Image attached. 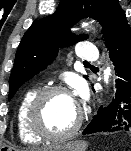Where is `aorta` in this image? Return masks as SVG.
I'll return each instance as SVG.
<instances>
[{"label": "aorta", "instance_id": "obj_1", "mask_svg": "<svg viewBox=\"0 0 131 151\" xmlns=\"http://www.w3.org/2000/svg\"><path fill=\"white\" fill-rule=\"evenodd\" d=\"M87 24H83V26H86ZM109 75H110V69H107L104 71V81L105 83H108L109 81Z\"/></svg>", "mask_w": 131, "mask_h": 151}]
</instances>
